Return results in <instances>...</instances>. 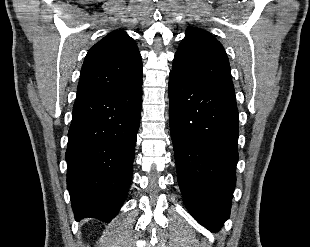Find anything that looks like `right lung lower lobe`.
<instances>
[{
  "label": "right lung lower lobe",
  "mask_w": 310,
  "mask_h": 247,
  "mask_svg": "<svg viewBox=\"0 0 310 247\" xmlns=\"http://www.w3.org/2000/svg\"><path fill=\"white\" fill-rule=\"evenodd\" d=\"M142 83L76 97L66 151L67 188L75 219L104 222L120 210L132 179Z\"/></svg>",
  "instance_id": "right-lung-lower-lobe-1"
}]
</instances>
